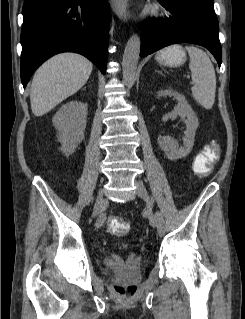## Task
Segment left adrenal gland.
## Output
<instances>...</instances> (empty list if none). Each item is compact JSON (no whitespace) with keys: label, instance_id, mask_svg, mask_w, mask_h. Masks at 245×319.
Returning a JSON list of instances; mask_svg holds the SVG:
<instances>
[{"label":"left adrenal gland","instance_id":"left-adrenal-gland-1","mask_svg":"<svg viewBox=\"0 0 245 319\" xmlns=\"http://www.w3.org/2000/svg\"><path fill=\"white\" fill-rule=\"evenodd\" d=\"M156 72L160 73L161 75H164V74L162 73V71L157 70Z\"/></svg>","mask_w":245,"mask_h":319}]
</instances>
